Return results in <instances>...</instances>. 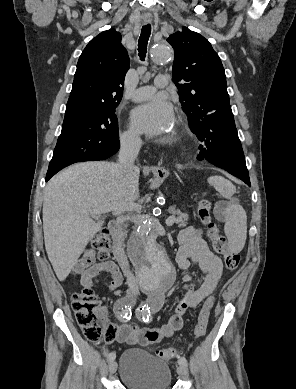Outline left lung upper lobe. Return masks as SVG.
Returning <instances> with one entry per match:
<instances>
[{
    "label": "left lung upper lobe",
    "instance_id": "left-lung-upper-lobe-1",
    "mask_svg": "<svg viewBox=\"0 0 296 389\" xmlns=\"http://www.w3.org/2000/svg\"><path fill=\"white\" fill-rule=\"evenodd\" d=\"M167 41L175 51L173 81L181 106L191 131L198 137L206 116L230 106L224 68L210 42L187 27Z\"/></svg>",
    "mask_w": 296,
    "mask_h": 389
}]
</instances>
